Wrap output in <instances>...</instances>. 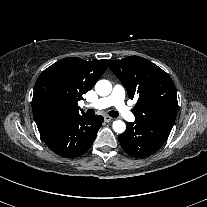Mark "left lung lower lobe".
Here are the masks:
<instances>
[{
  "label": "left lung lower lobe",
  "mask_w": 207,
  "mask_h": 207,
  "mask_svg": "<svg viewBox=\"0 0 207 207\" xmlns=\"http://www.w3.org/2000/svg\"><path fill=\"white\" fill-rule=\"evenodd\" d=\"M171 130L127 122L126 131L118 136L124 151L132 157L144 158L157 152Z\"/></svg>",
  "instance_id": "obj_1"
}]
</instances>
